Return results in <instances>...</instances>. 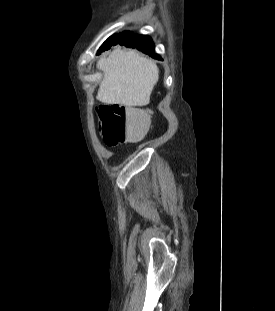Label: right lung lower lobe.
Returning <instances> with one entry per match:
<instances>
[{
    "label": "right lung lower lobe",
    "instance_id": "1",
    "mask_svg": "<svg viewBox=\"0 0 275 311\" xmlns=\"http://www.w3.org/2000/svg\"><path fill=\"white\" fill-rule=\"evenodd\" d=\"M119 44L129 48H136L143 53L151 56L152 58L162 60V58L157 53H155L154 43L149 36L132 35L131 37L127 38Z\"/></svg>",
    "mask_w": 275,
    "mask_h": 311
}]
</instances>
